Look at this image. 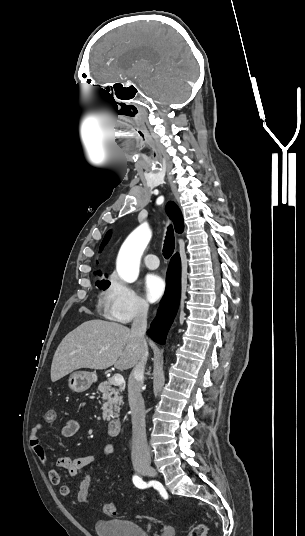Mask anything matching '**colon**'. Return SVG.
Here are the masks:
<instances>
[{
  "label": "colon",
  "mask_w": 305,
  "mask_h": 536,
  "mask_svg": "<svg viewBox=\"0 0 305 536\" xmlns=\"http://www.w3.org/2000/svg\"><path fill=\"white\" fill-rule=\"evenodd\" d=\"M54 417V410H48L46 412V419L50 422ZM90 484L88 482H85L81 487L77 495V501L79 504L84 505L88 501V497L90 495L89 492ZM103 511L106 514L112 515L115 514L117 511V508L115 506L114 502H106L103 506ZM188 536H207V529L204 525L200 524L193 528Z\"/></svg>",
  "instance_id": "5ec220e1"
}]
</instances>
